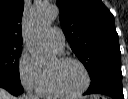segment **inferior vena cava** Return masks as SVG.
<instances>
[{
    "label": "inferior vena cava",
    "mask_w": 128,
    "mask_h": 99,
    "mask_svg": "<svg viewBox=\"0 0 128 99\" xmlns=\"http://www.w3.org/2000/svg\"><path fill=\"white\" fill-rule=\"evenodd\" d=\"M25 98H26V99H37V98L33 95L32 92H28Z\"/></svg>",
    "instance_id": "1"
}]
</instances>
